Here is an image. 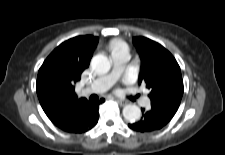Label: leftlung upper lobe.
Listing matches in <instances>:
<instances>
[{"instance_id": "left-lung-upper-lobe-1", "label": "left lung upper lobe", "mask_w": 225, "mask_h": 155, "mask_svg": "<svg viewBox=\"0 0 225 155\" xmlns=\"http://www.w3.org/2000/svg\"><path fill=\"white\" fill-rule=\"evenodd\" d=\"M133 44L142 61L139 84L145 82L150 89L151 105L177 111L184 91L177 61L163 46L148 38L134 37Z\"/></svg>"}]
</instances>
